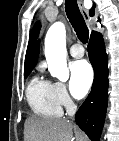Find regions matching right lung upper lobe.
Wrapping results in <instances>:
<instances>
[{
  "label": "right lung upper lobe",
  "mask_w": 119,
  "mask_h": 141,
  "mask_svg": "<svg viewBox=\"0 0 119 141\" xmlns=\"http://www.w3.org/2000/svg\"><path fill=\"white\" fill-rule=\"evenodd\" d=\"M94 7L95 6L93 5V7L90 9L89 12L90 16L94 15ZM39 30L40 23L37 22L30 34L28 48L25 57L24 72L31 71L34 68L35 64L37 63V58L39 55V42L37 41V38L39 36Z\"/></svg>",
  "instance_id": "1"
}]
</instances>
